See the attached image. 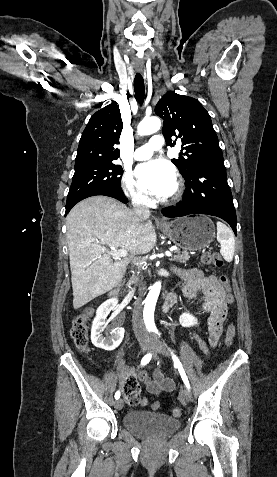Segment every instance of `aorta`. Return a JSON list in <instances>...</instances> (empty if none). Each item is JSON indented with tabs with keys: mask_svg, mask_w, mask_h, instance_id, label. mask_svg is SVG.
<instances>
[{
	"mask_svg": "<svg viewBox=\"0 0 277 477\" xmlns=\"http://www.w3.org/2000/svg\"><path fill=\"white\" fill-rule=\"evenodd\" d=\"M161 127V121L157 117H150L143 119L137 128V132L139 135L144 136V135H149L152 133L157 132ZM161 290V283L156 282L150 289L146 299H145V305H144V310H143V317L145 324L149 328H154L155 327V322H154V311H155V306L156 302L159 296Z\"/></svg>",
	"mask_w": 277,
	"mask_h": 477,
	"instance_id": "aorta-1",
	"label": "aorta"
}]
</instances>
